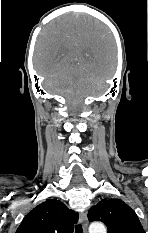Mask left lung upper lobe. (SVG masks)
<instances>
[{
    "mask_svg": "<svg viewBox=\"0 0 148 233\" xmlns=\"http://www.w3.org/2000/svg\"><path fill=\"white\" fill-rule=\"evenodd\" d=\"M88 219L101 221L108 233H145L134 210L120 199H103L88 212Z\"/></svg>",
    "mask_w": 148,
    "mask_h": 233,
    "instance_id": "1",
    "label": "left lung upper lobe"
}]
</instances>
